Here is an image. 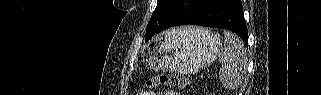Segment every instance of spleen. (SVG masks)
Returning a JSON list of instances; mask_svg holds the SVG:
<instances>
[{
	"mask_svg": "<svg viewBox=\"0 0 321 95\" xmlns=\"http://www.w3.org/2000/svg\"><path fill=\"white\" fill-rule=\"evenodd\" d=\"M219 77L226 89H235L242 83L247 67V53L243 42L229 31H224V45L218 55Z\"/></svg>",
	"mask_w": 321,
	"mask_h": 95,
	"instance_id": "obj_1",
	"label": "spleen"
}]
</instances>
